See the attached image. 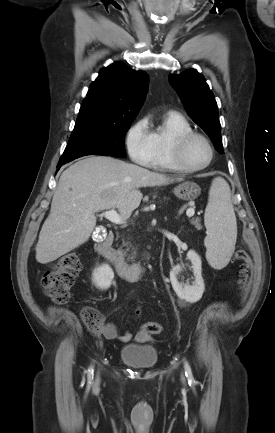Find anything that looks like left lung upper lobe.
Instances as JSON below:
<instances>
[{
	"label": "left lung upper lobe",
	"instance_id": "left-lung-upper-lobe-1",
	"mask_svg": "<svg viewBox=\"0 0 275 433\" xmlns=\"http://www.w3.org/2000/svg\"><path fill=\"white\" fill-rule=\"evenodd\" d=\"M169 81L188 115L207 133L215 149L223 154L217 103L203 75L195 69H188L180 75H170Z\"/></svg>",
	"mask_w": 275,
	"mask_h": 433
}]
</instances>
